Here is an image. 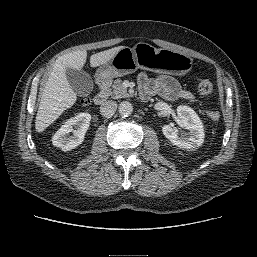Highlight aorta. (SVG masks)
I'll return each mask as SVG.
<instances>
[{
  "mask_svg": "<svg viewBox=\"0 0 257 257\" xmlns=\"http://www.w3.org/2000/svg\"><path fill=\"white\" fill-rule=\"evenodd\" d=\"M119 113L122 116H129L131 115L132 111H133V106L130 102L128 101H123L119 104Z\"/></svg>",
  "mask_w": 257,
  "mask_h": 257,
  "instance_id": "762f6f07",
  "label": "aorta"
}]
</instances>
